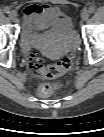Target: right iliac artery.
Returning <instances> with one entry per match:
<instances>
[{
	"label": "right iliac artery",
	"mask_w": 104,
	"mask_h": 137,
	"mask_svg": "<svg viewBox=\"0 0 104 137\" xmlns=\"http://www.w3.org/2000/svg\"><path fill=\"white\" fill-rule=\"evenodd\" d=\"M5 13H9L10 12V8L9 7H5L3 10Z\"/></svg>",
	"instance_id": "1"
}]
</instances>
